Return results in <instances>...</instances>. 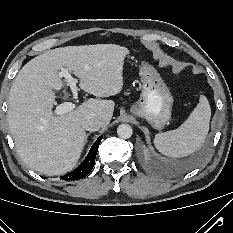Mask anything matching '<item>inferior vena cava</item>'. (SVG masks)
<instances>
[{
	"mask_svg": "<svg viewBox=\"0 0 233 233\" xmlns=\"http://www.w3.org/2000/svg\"><path fill=\"white\" fill-rule=\"evenodd\" d=\"M81 125L84 130L93 132L98 131L102 127L103 122L96 115L90 114L82 119Z\"/></svg>",
	"mask_w": 233,
	"mask_h": 233,
	"instance_id": "inferior-vena-cava-1",
	"label": "inferior vena cava"
}]
</instances>
